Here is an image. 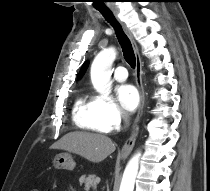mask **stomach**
I'll use <instances>...</instances> for the list:
<instances>
[{
  "mask_svg": "<svg viewBox=\"0 0 210 191\" xmlns=\"http://www.w3.org/2000/svg\"><path fill=\"white\" fill-rule=\"evenodd\" d=\"M75 162L69 153H61L55 156L53 166L56 169L73 170Z\"/></svg>",
  "mask_w": 210,
  "mask_h": 191,
  "instance_id": "obj_1",
  "label": "stomach"
}]
</instances>
